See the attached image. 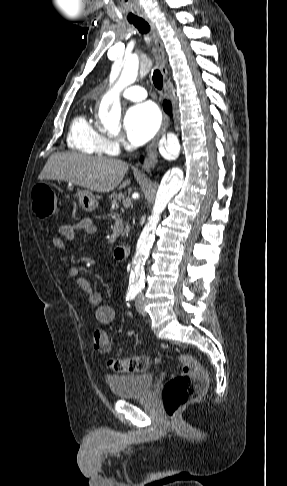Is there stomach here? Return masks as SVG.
Returning a JSON list of instances; mask_svg holds the SVG:
<instances>
[{
    "mask_svg": "<svg viewBox=\"0 0 287 486\" xmlns=\"http://www.w3.org/2000/svg\"><path fill=\"white\" fill-rule=\"evenodd\" d=\"M76 197L79 200L80 206L85 211H93L98 206L96 197L89 189H77Z\"/></svg>",
    "mask_w": 287,
    "mask_h": 486,
    "instance_id": "obj_1",
    "label": "stomach"
}]
</instances>
